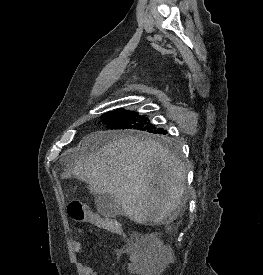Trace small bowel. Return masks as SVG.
<instances>
[{
  "label": "small bowel",
  "instance_id": "1",
  "mask_svg": "<svg viewBox=\"0 0 263 275\" xmlns=\"http://www.w3.org/2000/svg\"><path fill=\"white\" fill-rule=\"evenodd\" d=\"M100 218L102 219V222L93 223V224L96 225L97 227H100L106 230L105 222L113 221V220L106 219L103 217H100ZM83 241H84V238L81 236L77 238L73 243V251L76 255L82 252ZM122 253L128 256L127 271L130 274L145 275L147 259L145 256L144 248L141 245L139 244L130 245L124 248ZM80 269L83 275H98L94 267L87 263H80Z\"/></svg>",
  "mask_w": 263,
  "mask_h": 275
}]
</instances>
